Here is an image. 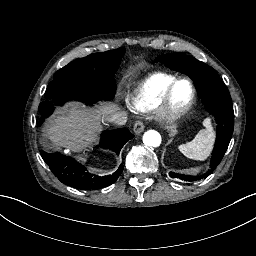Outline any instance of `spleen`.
<instances>
[{"label":"spleen","mask_w":256,"mask_h":256,"mask_svg":"<svg viewBox=\"0 0 256 256\" xmlns=\"http://www.w3.org/2000/svg\"><path fill=\"white\" fill-rule=\"evenodd\" d=\"M203 125L211 130L209 119H205ZM208 130H199L192 141L178 147L179 151L190 159L204 160L209 156L214 140V134Z\"/></svg>","instance_id":"obj_1"}]
</instances>
